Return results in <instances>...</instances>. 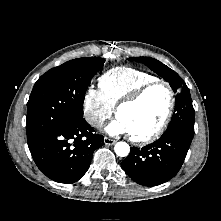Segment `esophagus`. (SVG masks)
I'll list each match as a JSON object with an SVG mask.
<instances>
[{
	"label": "esophagus",
	"instance_id": "1",
	"mask_svg": "<svg viewBox=\"0 0 221 221\" xmlns=\"http://www.w3.org/2000/svg\"><path fill=\"white\" fill-rule=\"evenodd\" d=\"M103 142L105 145H113V144H115L116 141L111 138L105 137Z\"/></svg>",
	"mask_w": 221,
	"mask_h": 221
}]
</instances>
